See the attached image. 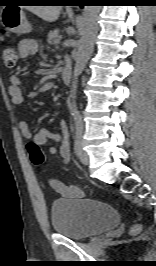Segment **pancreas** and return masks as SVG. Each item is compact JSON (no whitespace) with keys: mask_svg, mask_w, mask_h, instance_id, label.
I'll return each mask as SVG.
<instances>
[{"mask_svg":"<svg viewBox=\"0 0 156 266\" xmlns=\"http://www.w3.org/2000/svg\"><path fill=\"white\" fill-rule=\"evenodd\" d=\"M60 40V35H59V31L55 30V31H51L48 36H47V42L50 45H57L58 41Z\"/></svg>","mask_w":156,"mask_h":266,"instance_id":"1","label":"pancreas"}]
</instances>
